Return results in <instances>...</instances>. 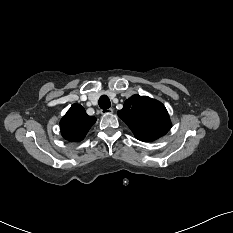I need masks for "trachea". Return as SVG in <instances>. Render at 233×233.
I'll return each instance as SVG.
<instances>
[{
  "label": "trachea",
  "instance_id": "trachea-1",
  "mask_svg": "<svg viewBox=\"0 0 233 233\" xmlns=\"http://www.w3.org/2000/svg\"><path fill=\"white\" fill-rule=\"evenodd\" d=\"M98 104L101 109H108L111 106L110 99L106 95H102L99 98Z\"/></svg>",
  "mask_w": 233,
  "mask_h": 233
}]
</instances>
